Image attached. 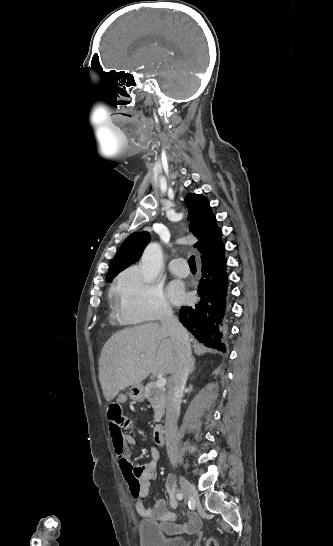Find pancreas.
<instances>
[{"label": "pancreas", "instance_id": "obj_1", "mask_svg": "<svg viewBox=\"0 0 333 546\" xmlns=\"http://www.w3.org/2000/svg\"><path fill=\"white\" fill-rule=\"evenodd\" d=\"M145 398L151 403L154 409V421L160 422L166 407V390L156 385V382H149L144 390Z\"/></svg>", "mask_w": 333, "mask_h": 546}]
</instances>
